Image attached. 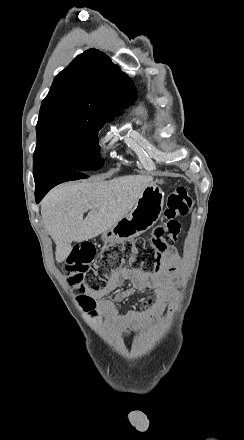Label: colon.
<instances>
[{"instance_id": "1", "label": "colon", "mask_w": 244, "mask_h": 440, "mask_svg": "<svg viewBox=\"0 0 244 440\" xmlns=\"http://www.w3.org/2000/svg\"><path fill=\"white\" fill-rule=\"evenodd\" d=\"M192 200L188 190L184 187L174 189L166 199L164 217L167 219L157 225L147 241L137 240L128 244H117L109 249H102L97 253L92 243H86L79 248H71L72 262L64 263L66 277L71 284L69 293L78 294L80 313H87L89 319H96L98 313L94 310L97 301L86 296V288L91 293H98L105 280L112 271L124 266L143 267L146 273H154L159 268L161 255L177 238L181 225L176 218L189 214ZM89 273L86 278L83 274ZM76 285V286H75ZM88 303V304H87Z\"/></svg>"}]
</instances>
